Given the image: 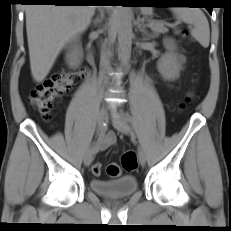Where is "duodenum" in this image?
Instances as JSON below:
<instances>
[{
  "label": "duodenum",
  "mask_w": 231,
  "mask_h": 231,
  "mask_svg": "<svg viewBox=\"0 0 231 231\" xmlns=\"http://www.w3.org/2000/svg\"><path fill=\"white\" fill-rule=\"evenodd\" d=\"M88 59L90 62L94 61V56H93V52L91 51V49H88Z\"/></svg>",
  "instance_id": "410a0bca"
}]
</instances>
